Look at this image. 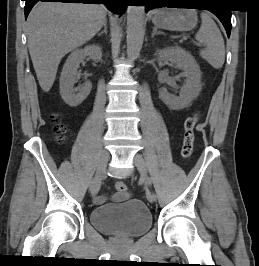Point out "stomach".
<instances>
[{
	"instance_id": "1",
	"label": "stomach",
	"mask_w": 259,
	"mask_h": 266,
	"mask_svg": "<svg viewBox=\"0 0 259 266\" xmlns=\"http://www.w3.org/2000/svg\"><path fill=\"white\" fill-rule=\"evenodd\" d=\"M197 12L193 9H158L152 22L155 26L172 31H190L197 25Z\"/></svg>"
}]
</instances>
